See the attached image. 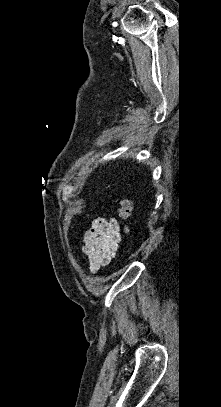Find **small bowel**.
<instances>
[{
	"label": "small bowel",
	"instance_id": "small-bowel-1",
	"mask_svg": "<svg viewBox=\"0 0 221 407\" xmlns=\"http://www.w3.org/2000/svg\"><path fill=\"white\" fill-rule=\"evenodd\" d=\"M121 241L115 218H97L83 233L80 247L88 260L90 271L96 272L115 256Z\"/></svg>",
	"mask_w": 221,
	"mask_h": 407
}]
</instances>
